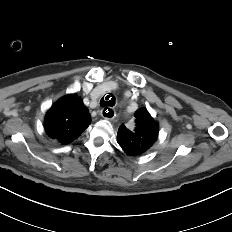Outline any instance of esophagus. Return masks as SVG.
Returning a JSON list of instances; mask_svg holds the SVG:
<instances>
[{
    "label": "esophagus",
    "instance_id": "obj_1",
    "mask_svg": "<svg viewBox=\"0 0 232 232\" xmlns=\"http://www.w3.org/2000/svg\"><path fill=\"white\" fill-rule=\"evenodd\" d=\"M101 116L105 119L112 120L116 116V112L113 108L105 107L101 110Z\"/></svg>",
    "mask_w": 232,
    "mask_h": 232
}]
</instances>
